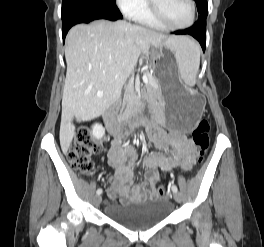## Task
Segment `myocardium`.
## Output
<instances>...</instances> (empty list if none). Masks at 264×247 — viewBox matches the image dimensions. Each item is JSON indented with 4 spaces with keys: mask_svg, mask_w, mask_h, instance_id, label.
I'll use <instances>...</instances> for the list:
<instances>
[{
    "mask_svg": "<svg viewBox=\"0 0 264 247\" xmlns=\"http://www.w3.org/2000/svg\"><path fill=\"white\" fill-rule=\"evenodd\" d=\"M191 8V16L188 22L185 24H172L168 22L159 10L156 0H148V9L151 16L164 28L172 30H182L191 27L196 18V4L194 0H188Z\"/></svg>",
    "mask_w": 264,
    "mask_h": 247,
    "instance_id": "obj_1",
    "label": "myocardium"
}]
</instances>
